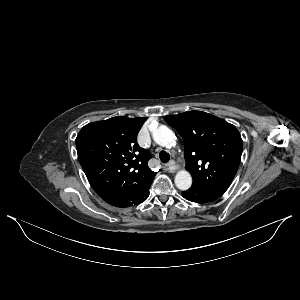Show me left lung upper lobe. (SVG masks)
Here are the masks:
<instances>
[{
	"instance_id": "5c2ea615",
	"label": "left lung upper lobe",
	"mask_w": 300,
	"mask_h": 300,
	"mask_svg": "<svg viewBox=\"0 0 300 300\" xmlns=\"http://www.w3.org/2000/svg\"><path fill=\"white\" fill-rule=\"evenodd\" d=\"M165 121L184 140L185 168L193 188L225 193L238 170L243 142L237 128L202 111L167 115Z\"/></svg>"
}]
</instances>
